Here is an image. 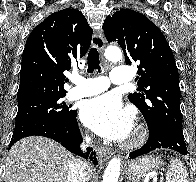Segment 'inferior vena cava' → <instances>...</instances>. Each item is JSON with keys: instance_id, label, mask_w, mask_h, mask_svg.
Listing matches in <instances>:
<instances>
[{"instance_id": "inferior-vena-cava-1", "label": "inferior vena cava", "mask_w": 196, "mask_h": 182, "mask_svg": "<svg viewBox=\"0 0 196 182\" xmlns=\"http://www.w3.org/2000/svg\"><path fill=\"white\" fill-rule=\"evenodd\" d=\"M90 137L85 138V144H90ZM86 145H82V149H86ZM86 163L82 161L80 158H75L70 166L68 171V180L67 182H87V174H86Z\"/></svg>"}]
</instances>
